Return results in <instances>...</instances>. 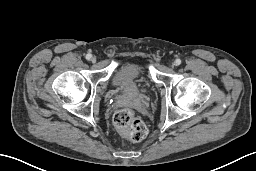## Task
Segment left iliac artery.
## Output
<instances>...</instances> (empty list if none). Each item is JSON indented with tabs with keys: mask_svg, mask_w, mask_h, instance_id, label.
Segmentation results:
<instances>
[{
	"mask_svg": "<svg viewBox=\"0 0 256 171\" xmlns=\"http://www.w3.org/2000/svg\"><path fill=\"white\" fill-rule=\"evenodd\" d=\"M175 62H176V65H180L181 64V60L180 59H176Z\"/></svg>",
	"mask_w": 256,
	"mask_h": 171,
	"instance_id": "44dca946",
	"label": "left iliac artery"
}]
</instances>
